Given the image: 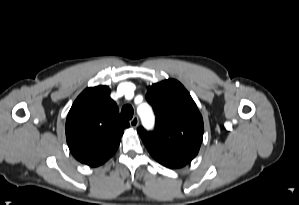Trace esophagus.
<instances>
[{"label":"esophagus","instance_id":"1","mask_svg":"<svg viewBox=\"0 0 299 205\" xmlns=\"http://www.w3.org/2000/svg\"><path fill=\"white\" fill-rule=\"evenodd\" d=\"M139 125V119L137 116H134L130 121V126L136 128Z\"/></svg>","mask_w":299,"mask_h":205}]
</instances>
